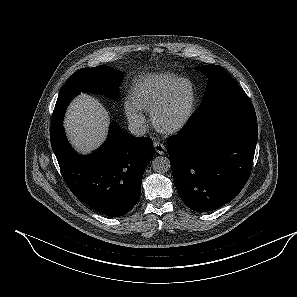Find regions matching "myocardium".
I'll return each instance as SVG.
<instances>
[{
  "instance_id": "1",
  "label": "myocardium",
  "mask_w": 297,
  "mask_h": 297,
  "mask_svg": "<svg viewBox=\"0 0 297 297\" xmlns=\"http://www.w3.org/2000/svg\"><path fill=\"white\" fill-rule=\"evenodd\" d=\"M185 84L188 88L187 102L180 116L169 124L161 123V116L168 106L172 103L180 86ZM196 105V91L191 80L179 77L168 90L164 98L150 111V120L152 126L159 133L172 135L182 130L190 121Z\"/></svg>"
}]
</instances>
